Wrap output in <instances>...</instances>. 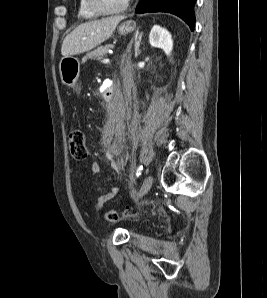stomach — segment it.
Returning <instances> with one entry per match:
<instances>
[{
	"instance_id": "obj_1",
	"label": "stomach",
	"mask_w": 267,
	"mask_h": 298,
	"mask_svg": "<svg viewBox=\"0 0 267 298\" xmlns=\"http://www.w3.org/2000/svg\"><path fill=\"white\" fill-rule=\"evenodd\" d=\"M135 29L136 23L129 20L118 27V32L120 35H125ZM59 70L62 82L69 87H74L79 76V61L72 56L63 57L59 64Z\"/></svg>"
}]
</instances>
